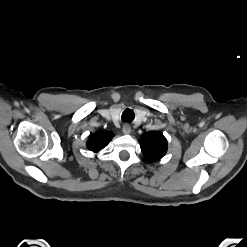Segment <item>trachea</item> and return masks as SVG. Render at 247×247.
<instances>
[{
	"label": "trachea",
	"mask_w": 247,
	"mask_h": 247,
	"mask_svg": "<svg viewBox=\"0 0 247 247\" xmlns=\"http://www.w3.org/2000/svg\"><path fill=\"white\" fill-rule=\"evenodd\" d=\"M135 118V113L131 109H126L122 113V121L131 123Z\"/></svg>",
	"instance_id": "3493384b"
}]
</instances>
